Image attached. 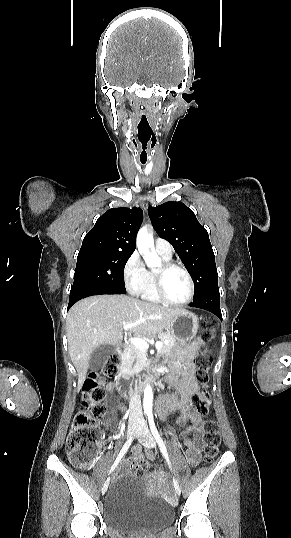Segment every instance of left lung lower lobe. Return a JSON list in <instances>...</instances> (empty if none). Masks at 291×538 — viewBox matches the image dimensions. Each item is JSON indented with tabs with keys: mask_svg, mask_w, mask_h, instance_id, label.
<instances>
[{
	"mask_svg": "<svg viewBox=\"0 0 291 538\" xmlns=\"http://www.w3.org/2000/svg\"><path fill=\"white\" fill-rule=\"evenodd\" d=\"M190 306L210 311L222 320L219 290L210 292L201 299L193 301L192 303H190Z\"/></svg>",
	"mask_w": 291,
	"mask_h": 538,
	"instance_id": "1",
	"label": "left lung lower lobe"
}]
</instances>
